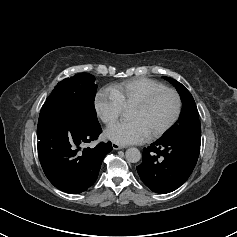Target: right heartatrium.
Instances as JSON below:
<instances>
[{
	"mask_svg": "<svg viewBox=\"0 0 237 237\" xmlns=\"http://www.w3.org/2000/svg\"><path fill=\"white\" fill-rule=\"evenodd\" d=\"M94 108L102 122L111 125L121 115L123 105L111 88H104L96 94Z\"/></svg>",
	"mask_w": 237,
	"mask_h": 237,
	"instance_id": "obj_1",
	"label": "right heart atrium"
}]
</instances>
